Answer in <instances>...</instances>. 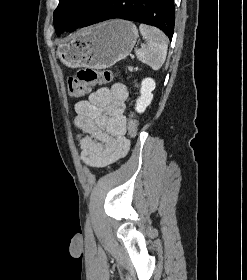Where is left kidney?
<instances>
[{"instance_id": "5707ae66", "label": "left kidney", "mask_w": 247, "mask_h": 280, "mask_svg": "<svg viewBox=\"0 0 247 280\" xmlns=\"http://www.w3.org/2000/svg\"><path fill=\"white\" fill-rule=\"evenodd\" d=\"M155 81L151 78L143 79L141 83V96L136 101L135 110L138 113H143L151 104L153 99L152 91L155 89Z\"/></svg>"}]
</instances>
